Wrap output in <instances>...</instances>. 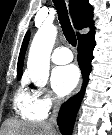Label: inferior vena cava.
Instances as JSON below:
<instances>
[{
	"label": "inferior vena cava",
	"mask_w": 112,
	"mask_h": 135,
	"mask_svg": "<svg viewBox=\"0 0 112 135\" xmlns=\"http://www.w3.org/2000/svg\"><path fill=\"white\" fill-rule=\"evenodd\" d=\"M53 114L49 120V122L51 124H55L56 120H57V116H58V112H59V107H60V101L58 99H55L53 102Z\"/></svg>",
	"instance_id": "obj_1"
}]
</instances>
